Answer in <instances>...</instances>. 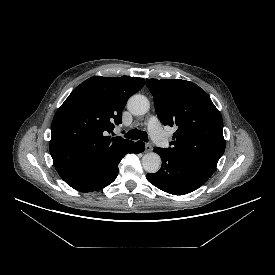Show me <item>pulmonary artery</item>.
<instances>
[{
    "mask_svg": "<svg viewBox=\"0 0 275 275\" xmlns=\"http://www.w3.org/2000/svg\"><path fill=\"white\" fill-rule=\"evenodd\" d=\"M148 129L154 142L161 147L167 146V138L162 131L161 125L157 117L153 116L148 121Z\"/></svg>",
    "mask_w": 275,
    "mask_h": 275,
    "instance_id": "e3ab8cb5",
    "label": "pulmonary artery"
}]
</instances>
